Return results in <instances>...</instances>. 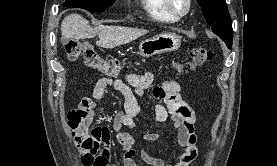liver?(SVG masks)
Masks as SVG:
<instances>
[{"mask_svg":"<svg viewBox=\"0 0 277 166\" xmlns=\"http://www.w3.org/2000/svg\"><path fill=\"white\" fill-rule=\"evenodd\" d=\"M64 39H90L98 35L96 44L103 48H115L130 43L147 34L146 30L120 26L98 25L91 27L89 22L79 14H70L61 23Z\"/></svg>","mask_w":277,"mask_h":166,"instance_id":"obj_1","label":"liver"}]
</instances>
